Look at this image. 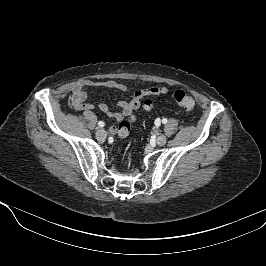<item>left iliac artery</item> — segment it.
<instances>
[{"instance_id": "1", "label": "left iliac artery", "mask_w": 266, "mask_h": 266, "mask_svg": "<svg viewBox=\"0 0 266 266\" xmlns=\"http://www.w3.org/2000/svg\"><path fill=\"white\" fill-rule=\"evenodd\" d=\"M162 123H163V124H166V123H167V119H166V118H163V119H162Z\"/></svg>"}]
</instances>
